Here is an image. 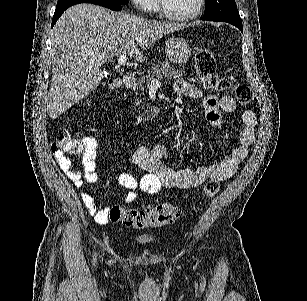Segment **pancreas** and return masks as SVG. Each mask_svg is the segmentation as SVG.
Returning <instances> with one entry per match:
<instances>
[{
    "instance_id": "cf45deb5",
    "label": "pancreas",
    "mask_w": 307,
    "mask_h": 301,
    "mask_svg": "<svg viewBox=\"0 0 307 301\" xmlns=\"http://www.w3.org/2000/svg\"><path fill=\"white\" fill-rule=\"evenodd\" d=\"M163 76H170V78H176V76H182V70H177L174 66H170V62L165 60V62H158V64H154L151 70H147V74L139 78L137 82H135L134 88H136L140 98H143V94L148 92L149 84L151 80L157 78V80H161ZM149 108V106H147ZM152 110V108H149Z\"/></svg>"
}]
</instances>
